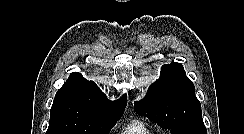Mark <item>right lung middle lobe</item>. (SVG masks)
Segmentation results:
<instances>
[{
    "label": "right lung middle lobe",
    "mask_w": 244,
    "mask_h": 134,
    "mask_svg": "<svg viewBox=\"0 0 244 134\" xmlns=\"http://www.w3.org/2000/svg\"><path fill=\"white\" fill-rule=\"evenodd\" d=\"M122 114L107 118H79L50 114L46 134H107Z\"/></svg>",
    "instance_id": "1"
}]
</instances>
